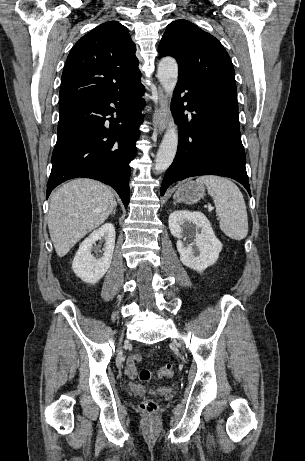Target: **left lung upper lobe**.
<instances>
[{
  "mask_svg": "<svg viewBox=\"0 0 305 461\" xmlns=\"http://www.w3.org/2000/svg\"><path fill=\"white\" fill-rule=\"evenodd\" d=\"M159 56H172L177 60L178 80L227 81L236 85L233 64L222 44L189 21L177 20L167 26L159 44Z\"/></svg>",
  "mask_w": 305,
  "mask_h": 461,
  "instance_id": "left-lung-upper-lobe-1",
  "label": "left lung upper lobe"
}]
</instances>
